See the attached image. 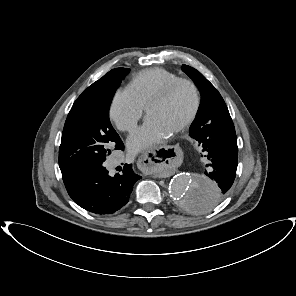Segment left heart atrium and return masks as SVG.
<instances>
[{
  "label": "left heart atrium",
  "instance_id": "1",
  "mask_svg": "<svg viewBox=\"0 0 296 296\" xmlns=\"http://www.w3.org/2000/svg\"><path fill=\"white\" fill-rule=\"evenodd\" d=\"M171 133L156 119L148 117L144 125L129 137L128 147L133 153H138L167 139Z\"/></svg>",
  "mask_w": 296,
  "mask_h": 296
}]
</instances>
